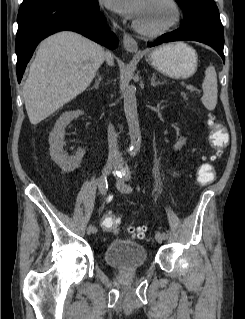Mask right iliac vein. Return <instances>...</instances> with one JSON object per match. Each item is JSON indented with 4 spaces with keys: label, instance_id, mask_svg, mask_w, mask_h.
<instances>
[{
    "label": "right iliac vein",
    "instance_id": "obj_1",
    "mask_svg": "<svg viewBox=\"0 0 245 319\" xmlns=\"http://www.w3.org/2000/svg\"><path fill=\"white\" fill-rule=\"evenodd\" d=\"M116 167V165L114 163H107L103 169V177H106L110 174V172ZM93 233L92 231V226L89 225L87 228V234H91Z\"/></svg>",
    "mask_w": 245,
    "mask_h": 319
}]
</instances>
